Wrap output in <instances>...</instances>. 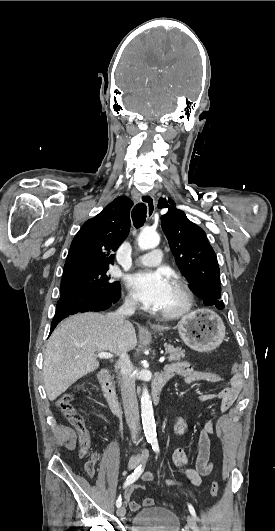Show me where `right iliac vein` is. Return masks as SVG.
I'll use <instances>...</instances> for the list:
<instances>
[{"label": "right iliac vein", "instance_id": "1", "mask_svg": "<svg viewBox=\"0 0 275 531\" xmlns=\"http://www.w3.org/2000/svg\"><path fill=\"white\" fill-rule=\"evenodd\" d=\"M140 459H141L140 457L132 456V457L130 458V460H129V463H128V469H129V470H132V469L136 468V467L138 466L139 462H140ZM125 513H126V510H125L124 507H121V506H120V507L117 509V515H118L119 517H124V516H125Z\"/></svg>", "mask_w": 275, "mask_h": 531}]
</instances>
